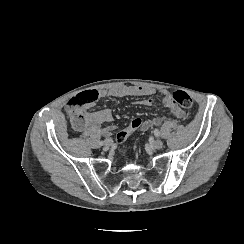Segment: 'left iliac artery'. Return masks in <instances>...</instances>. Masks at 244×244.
Masks as SVG:
<instances>
[{
    "instance_id": "obj_1",
    "label": "left iliac artery",
    "mask_w": 244,
    "mask_h": 244,
    "mask_svg": "<svg viewBox=\"0 0 244 244\" xmlns=\"http://www.w3.org/2000/svg\"><path fill=\"white\" fill-rule=\"evenodd\" d=\"M154 134H155V136H160V132H159V130L158 129H155V131H154Z\"/></svg>"
}]
</instances>
